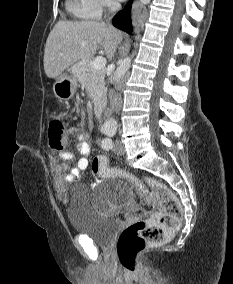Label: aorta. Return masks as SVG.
Wrapping results in <instances>:
<instances>
[{
    "label": "aorta",
    "instance_id": "1",
    "mask_svg": "<svg viewBox=\"0 0 233 284\" xmlns=\"http://www.w3.org/2000/svg\"><path fill=\"white\" fill-rule=\"evenodd\" d=\"M140 1L144 5H146L150 2V0H140ZM130 65H131V58L130 57H126L120 62V65L117 67V69L114 73V76H113L114 83H118L121 80V78L128 71ZM105 126L109 127V128H116L117 127V121L114 118H110L106 121Z\"/></svg>",
    "mask_w": 233,
    "mask_h": 284
}]
</instances>
